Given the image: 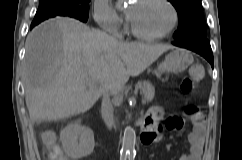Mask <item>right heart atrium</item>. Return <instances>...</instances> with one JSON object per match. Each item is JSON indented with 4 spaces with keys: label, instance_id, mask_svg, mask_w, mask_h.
<instances>
[{
    "label": "right heart atrium",
    "instance_id": "obj_1",
    "mask_svg": "<svg viewBox=\"0 0 242 160\" xmlns=\"http://www.w3.org/2000/svg\"><path fill=\"white\" fill-rule=\"evenodd\" d=\"M93 16L105 31L115 33L122 26V18L108 0H94Z\"/></svg>",
    "mask_w": 242,
    "mask_h": 160
}]
</instances>
